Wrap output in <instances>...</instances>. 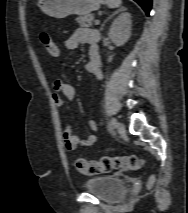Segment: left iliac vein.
Returning a JSON list of instances; mask_svg holds the SVG:
<instances>
[{"label": "left iliac vein", "instance_id": "1", "mask_svg": "<svg viewBox=\"0 0 188 213\" xmlns=\"http://www.w3.org/2000/svg\"><path fill=\"white\" fill-rule=\"evenodd\" d=\"M116 129L119 133H125V131H126L125 125L121 122L116 123Z\"/></svg>", "mask_w": 188, "mask_h": 213}]
</instances>
